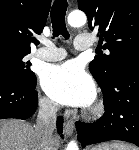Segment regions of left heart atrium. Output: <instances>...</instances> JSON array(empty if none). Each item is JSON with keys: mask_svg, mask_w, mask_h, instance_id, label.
I'll use <instances>...</instances> for the list:
<instances>
[{"mask_svg": "<svg viewBox=\"0 0 139 150\" xmlns=\"http://www.w3.org/2000/svg\"><path fill=\"white\" fill-rule=\"evenodd\" d=\"M41 84L50 98L65 105L86 107L96 95L93 80L74 61L47 67L41 75Z\"/></svg>", "mask_w": 139, "mask_h": 150, "instance_id": "left-heart-atrium-1", "label": "left heart atrium"}]
</instances>
